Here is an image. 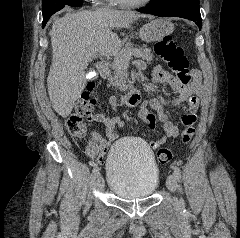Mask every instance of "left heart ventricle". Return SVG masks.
Listing matches in <instances>:
<instances>
[{"mask_svg": "<svg viewBox=\"0 0 240 238\" xmlns=\"http://www.w3.org/2000/svg\"><path fill=\"white\" fill-rule=\"evenodd\" d=\"M123 1H127V2H136V1H140V0H123Z\"/></svg>", "mask_w": 240, "mask_h": 238, "instance_id": "b2bd125f", "label": "left heart ventricle"}]
</instances>
